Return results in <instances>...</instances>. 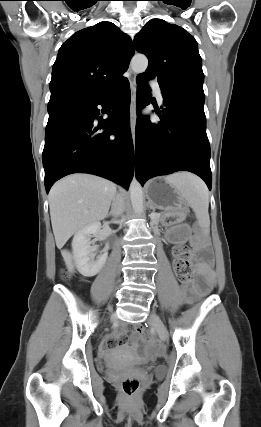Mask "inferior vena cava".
Listing matches in <instances>:
<instances>
[{"label": "inferior vena cava", "mask_w": 261, "mask_h": 427, "mask_svg": "<svg viewBox=\"0 0 261 427\" xmlns=\"http://www.w3.org/2000/svg\"><path fill=\"white\" fill-rule=\"evenodd\" d=\"M124 211V199L122 195L117 194L112 200L111 214L117 218Z\"/></svg>", "instance_id": "inferior-vena-cava-1"}]
</instances>
